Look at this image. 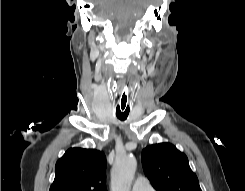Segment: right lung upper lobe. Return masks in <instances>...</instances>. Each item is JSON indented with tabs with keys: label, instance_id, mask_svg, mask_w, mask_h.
<instances>
[{
	"label": "right lung upper lobe",
	"instance_id": "obj_1",
	"mask_svg": "<svg viewBox=\"0 0 245 191\" xmlns=\"http://www.w3.org/2000/svg\"><path fill=\"white\" fill-rule=\"evenodd\" d=\"M106 159L95 149L71 148L55 167L50 191H107Z\"/></svg>",
	"mask_w": 245,
	"mask_h": 191
}]
</instances>
